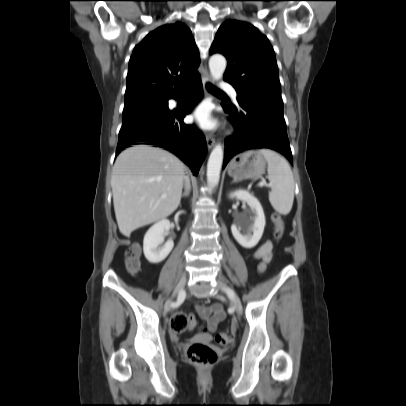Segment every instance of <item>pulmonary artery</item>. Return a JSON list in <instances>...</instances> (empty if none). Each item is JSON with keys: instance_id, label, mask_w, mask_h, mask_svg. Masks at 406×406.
Returning <instances> with one entry per match:
<instances>
[{"instance_id": "obj_1", "label": "pulmonary artery", "mask_w": 406, "mask_h": 406, "mask_svg": "<svg viewBox=\"0 0 406 406\" xmlns=\"http://www.w3.org/2000/svg\"><path fill=\"white\" fill-rule=\"evenodd\" d=\"M220 87L222 89L228 91L234 100L237 99V92L230 84H228L226 82H222Z\"/></svg>"}]
</instances>
